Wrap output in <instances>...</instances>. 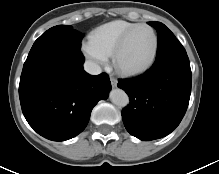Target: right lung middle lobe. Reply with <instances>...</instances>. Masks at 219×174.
Here are the masks:
<instances>
[{
    "label": "right lung middle lobe",
    "mask_w": 219,
    "mask_h": 174,
    "mask_svg": "<svg viewBox=\"0 0 219 174\" xmlns=\"http://www.w3.org/2000/svg\"><path fill=\"white\" fill-rule=\"evenodd\" d=\"M83 34L69 25H58L43 33L33 44L25 63L55 48L80 50Z\"/></svg>",
    "instance_id": "dd1d6c3e"
}]
</instances>
